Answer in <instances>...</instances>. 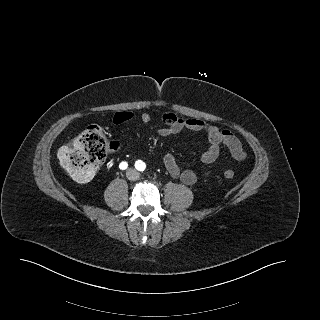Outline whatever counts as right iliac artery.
<instances>
[{
  "mask_svg": "<svg viewBox=\"0 0 320 320\" xmlns=\"http://www.w3.org/2000/svg\"><path fill=\"white\" fill-rule=\"evenodd\" d=\"M127 167H128V164H127V162H124V161L121 162L120 165H119V168L121 170H125Z\"/></svg>",
  "mask_w": 320,
  "mask_h": 320,
  "instance_id": "right-iliac-artery-1",
  "label": "right iliac artery"
}]
</instances>
